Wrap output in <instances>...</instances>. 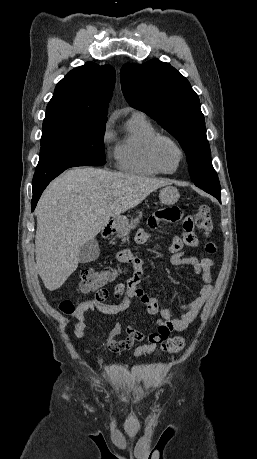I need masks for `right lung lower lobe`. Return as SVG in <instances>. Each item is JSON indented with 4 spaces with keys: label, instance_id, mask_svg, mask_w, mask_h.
Masks as SVG:
<instances>
[{
    "label": "right lung lower lobe",
    "instance_id": "1",
    "mask_svg": "<svg viewBox=\"0 0 257 459\" xmlns=\"http://www.w3.org/2000/svg\"><path fill=\"white\" fill-rule=\"evenodd\" d=\"M76 166H90L82 162H71L68 164H59L47 169L38 170L33 177V199H32V211L35 209L36 204L46 186L59 174L65 171L67 168Z\"/></svg>",
    "mask_w": 257,
    "mask_h": 459
}]
</instances>
